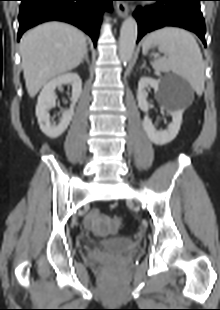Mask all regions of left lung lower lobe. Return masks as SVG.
Instances as JSON below:
<instances>
[{"label":"left lung lower lobe","instance_id":"left-lung-lower-lobe-1","mask_svg":"<svg viewBox=\"0 0 220 310\" xmlns=\"http://www.w3.org/2000/svg\"><path fill=\"white\" fill-rule=\"evenodd\" d=\"M154 5L138 8L134 17L138 23V41L148 32L174 26L196 33L205 42V22L199 2L202 0H144Z\"/></svg>","mask_w":220,"mask_h":310}]
</instances>
